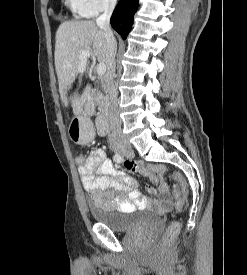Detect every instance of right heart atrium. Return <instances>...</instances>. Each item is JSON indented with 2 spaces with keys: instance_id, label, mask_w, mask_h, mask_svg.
<instances>
[{
  "instance_id": "obj_1",
  "label": "right heart atrium",
  "mask_w": 247,
  "mask_h": 275,
  "mask_svg": "<svg viewBox=\"0 0 247 275\" xmlns=\"http://www.w3.org/2000/svg\"><path fill=\"white\" fill-rule=\"evenodd\" d=\"M78 3L83 14L90 17L113 9L117 0H78Z\"/></svg>"
}]
</instances>
